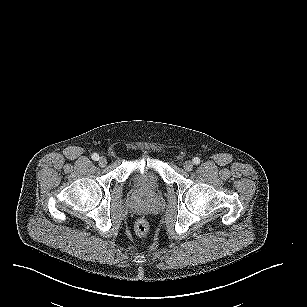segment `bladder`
<instances>
[{"label": "bladder", "mask_w": 307, "mask_h": 307, "mask_svg": "<svg viewBox=\"0 0 307 307\" xmlns=\"http://www.w3.org/2000/svg\"><path fill=\"white\" fill-rule=\"evenodd\" d=\"M137 177L142 179L143 181H149L152 185H155V174L148 170H142L137 172Z\"/></svg>", "instance_id": "obj_1"}]
</instances>
